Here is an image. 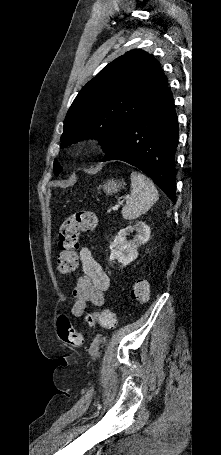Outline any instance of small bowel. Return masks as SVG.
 Here are the masks:
<instances>
[{"mask_svg": "<svg viewBox=\"0 0 221 455\" xmlns=\"http://www.w3.org/2000/svg\"><path fill=\"white\" fill-rule=\"evenodd\" d=\"M79 259L82 271L76 277L73 290L75 301L71 308V312L75 317L84 316L87 304L97 307L103 306L105 294L110 287L108 275L95 260L89 248H81Z\"/></svg>", "mask_w": 221, "mask_h": 455, "instance_id": "small-bowel-1", "label": "small bowel"}]
</instances>
